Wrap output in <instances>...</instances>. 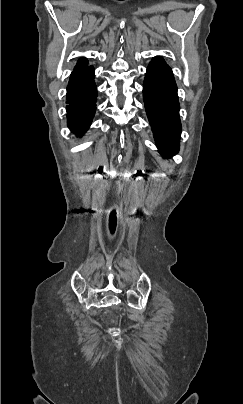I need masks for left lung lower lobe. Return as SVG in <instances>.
Here are the masks:
<instances>
[{
  "label": "left lung lower lobe",
  "instance_id": "obj_1",
  "mask_svg": "<svg viewBox=\"0 0 243 404\" xmlns=\"http://www.w3.org/2000/svg\"><path fill=\"white\" fill-rule=\"evenodd\" d=\"M143 97L156 145L161 155L169 158L179 150L180 106L172 70L159 56L148 65Z\"/></svg>",
  "mask_w": 243,
  "mask_h": 404
}]
</instances>
